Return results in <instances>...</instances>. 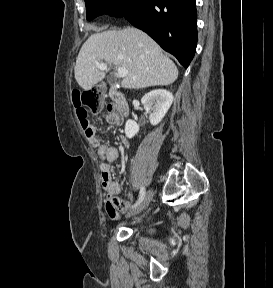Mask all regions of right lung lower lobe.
<instances>
[{"label": "right lung lower lobe", "mask_w": 273, "mask_h": 288, "mask_svg": "<svg viewBox=\"0 0 273 288\" xmlns=\"http://www.w3.org/2000/svg\"><path fill=\"white\" fill-rule=\"evenodd\" d=\"M123 17L189 66L197 45L195 0H137Z\"/></svg>", "instance_id": "obj_1"}]
</instances>
